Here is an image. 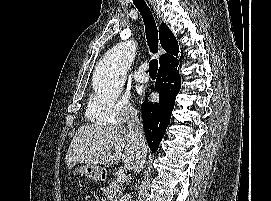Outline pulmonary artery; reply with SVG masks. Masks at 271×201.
Instances as JSON below:
<instances>
[{
    "instance_id": "obj_1",
    "label": "pulmonary artery",
    "mask_w": 271,
    "mask_h": 201,
    "mask_svg": "<svg viewBox=\"0 0 271 201\" xmlns=\"http://www.w3.org/2000/svg\"><path fill=\"white\" fill-rule=\"evenodd\" d=\"M147 65L143 64L133 75L135 81L145 83L149 80V76L146 73Z\"/></svg>"
}]
</instances>
